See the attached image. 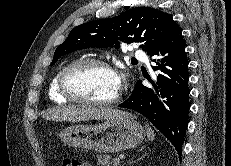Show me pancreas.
<instances>
[{"label": "pancreas", "instance_id": "pancreas-1", "mask_svg": "<svg viewBox=\"0 0 231 166\" xmlns=\"http://www.w3.org/2000/svg\"><path fill=\"white\" fill-rule=\"evenodd\" d=\"M97 165H101V166H118L119 162L115 161L114 159L111 161L109 156L106 155H98L97 156Z\"/></svg>", "mask_w": 231, "mask_h": 166}]
</instances>
